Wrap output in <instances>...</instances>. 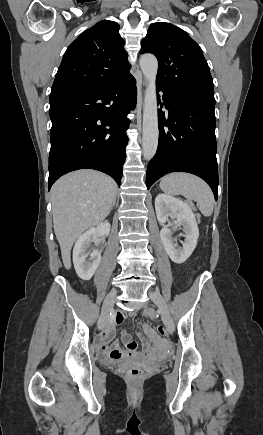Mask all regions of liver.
<instances>
[{
	"instance_id": "obj_1",
	"label": "liver",
	"mask_w": 263,
	"mask_h": 435,
	"mask_svg": "<svg viewBox=\"0 0 263 435\" xmlns=\"http://www.w3.org/2000/svg\"><path fill=\"white\" fill-rule=\"evenodd\" d=\"M116 192L112 178L89 169L71 172L52 186L53 227L66 269L71 268L74 242L108 216Z\"/></svg>"
}]
</instances>
